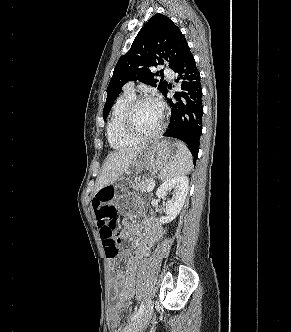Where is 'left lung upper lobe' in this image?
I'll return each instance as SVG.
<instances>
[{
    "label": "left lung upper lobe",
    "mask_w": 291,
    "mask_h": 332,
    "mask_svg": "<svg viewBox=\"0 0 291 332\" xmlns=\"http://www.w3.org/2000/svg\"><path fill=\"white\" fill-rule=\"evenodd\" d=\"M186 39L173 21L160 13L151 17L141 28L130 50L118 60L113 76L107 87V99L103 110L104 120L121 92L122 86L131 80L157 87L162 94L167 90L168 83L154 79L150 68L168 63L173 69L180 61L186 46ZM199 148V142L191 146L194 151Z\"/></svg>",
    "instance_id": "1"
}]
</instances>
